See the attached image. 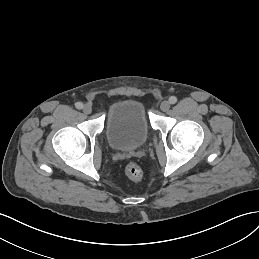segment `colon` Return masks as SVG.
<instances>
[{
	"instance_id": "obj_1",
	"label": "colon",
	"mask_w": 259,
	"mask_h": 259,
	"mask_svg": "<svg viewBox=\"0 0 259 259\" xmlns=\"http://www.w3.org/2000/svg\"><path fill=\"white\" fill-rule=\"evenodd\" d=\"M125 173L128 176V178L133 181H139V180H141V178L143 176V172H142L141 168L139 167V165H137L136 163H133V162L129 163L126 166Z\"/></svg>"
}]
</instances>
